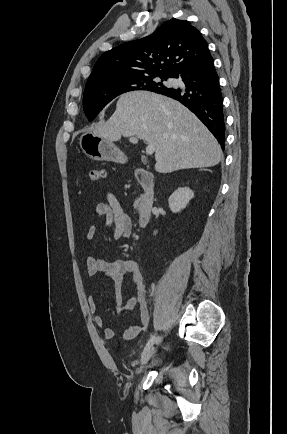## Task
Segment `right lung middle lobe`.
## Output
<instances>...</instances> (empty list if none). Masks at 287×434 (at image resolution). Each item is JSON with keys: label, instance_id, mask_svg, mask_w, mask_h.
I'll return each mask as SVG.
<instances>
[{"label": "right lung middle lobe", "instance_id": "obj_1", "mask_svg": "<svg viewBox=\"0 0 287 434\" xmlns=\"http://www.w3.org/2000/svg\"><path fill=\"white\" fill-rule=\"evenodd\" d=\"M157 77L167 79L166 75H144L132 78H116L86 84L83 108L89 121L118 95L133 90H165L167 87L157 81Z\"/></svg>", "mask_w": 287, "mask_h": 434}]
</instances>
